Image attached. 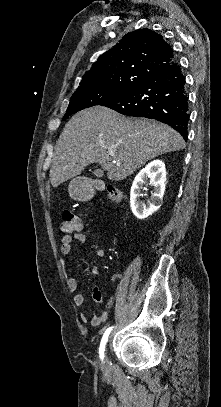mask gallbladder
<instances>
[{
    "mask_svg": "<svg viewBox=\"0 0 221 407\" xmlns=\"http://www.w3.org/2000/svg\"><path fill=\"white\" fill-rule=\"evenodd\" d=\"M93 173L98 177L103 175V171L101 169H95Z\"/></svg>",
    "mask_w": 221,
    "mask_h": 407,
    "instance_id": "gallbladder-1",
    "label": "gallbladder"
}]
</instances>
